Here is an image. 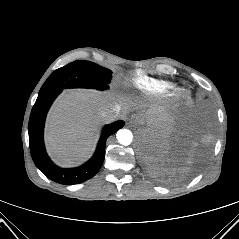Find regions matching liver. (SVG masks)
<instances>
[{"instance_id": "6515ba94", "label": "liver", "mask_w": 239, "mask_h": 239, "mask_svg": "<svg viewBox=\"0 0 239 239\" xmlns=\"http://www.w3.org/2000/svg\"><path fill=\"white\" fill-rule=\"evenodd\" d=\"M131 104L112 92L86 89L63 92L47 117L45 141L50 156L65 167L81 163L90 156L99 128L105 122L101 113L118 107L119 116L124 117Z\"/></svg>"}]
</instances>
